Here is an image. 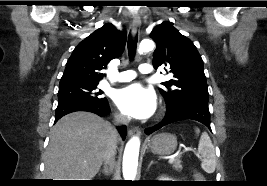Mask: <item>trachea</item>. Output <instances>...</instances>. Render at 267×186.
I'll return each mask as SVG.
<instances>
[{"instance_id":"trachea-1","label":"trachea","mask_w":267,"mask_h":186,"mask_svg":"<svg viewBox=\"0 0 267 186\" xmlns=\"http://www.w3.org/2000/svg\"><path fill=\"white\" fill-rule=\"evenodd\" d=\"M137 39H138V34H136L135 37H132L131 34H129L128 36L127 47L130 60H133L135 57L137 48Z\"/></svg>"}]
</instances>
